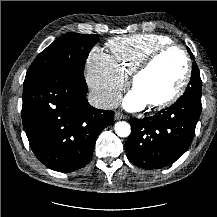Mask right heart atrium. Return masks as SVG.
I'll list each match as a JSON object with an SVG mask.
<instances>
[{"mask_svg":"<svg viewBox=\"0 0 217 217\" xmlns=\"http://www.w3.org/2000/svg\"><path fill=\"white\" fill-rule=\"evenodd\" d=\"M86 68L87 83L97 103L104 108L113 106L125 88L127 78L113 67L108 54L99 47L91 50Z\"/></svg>","mask_w":217,"mask_h":217,"instance_id":"right-heart-atrium-1","label":"right heart atrium"}]
</instances>
